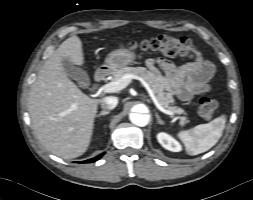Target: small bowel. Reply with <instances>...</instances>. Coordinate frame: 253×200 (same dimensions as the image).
Masks as SVG:
<instances>
[{
    "label": "small bowel",
    "mask_w": 253,
    "mask_h": 200,
    "mask_svg": "<svg viewBox=\"0 0 253 200\" xmlns=\"http://www.w3.org/2000/svg\"><path fill=\"white\" fill-rule=\"evenodd\" d=\"M146 64L150 70H162L171 79L176 93L182 100H190L194 95L205 93L210 89L209 81L214 68L199 53H196L194 60L178 69L162 59H148Z\"/></svg>",
    "instance_id": "small-bowel-1"
}]
</instances>
